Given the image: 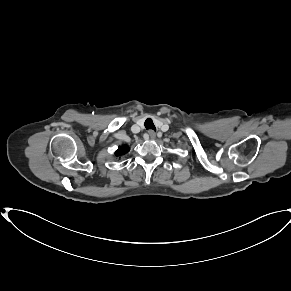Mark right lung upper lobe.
I'll return each mask as SVG.
<instances>
[{
  "label": "right lung upper lobe",
  "instance_id": "cb5924a9",
  "mask_svg": "<svg viewBox=\"0 0 291 291\" xmlns=\"http://www.w3.org/2000/svg\"><path fill=\"white\" fill-rule=\"evenodd\" d=\"M130 150V148L126 145L119 146L118 150L115 152L116 156H121L127 153Z\"/></svg>",
  "mask_w": 291,
  "mask_h": 291
}]
</instances>
